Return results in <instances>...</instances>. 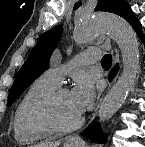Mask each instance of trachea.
Masks as SVG:
<instances>
[{"mask_svg":"<svg viewBox=\"0 0 145 147\" xmlns=\"http://www.w3.org/2000/svg\"><path fill=\"white\" fill-rule=\"evenodd\" d=\"M112 64V57L111 55L107 54L105 55L101 60L102 66H110Z\"/></svg>","mask_w":145,"mask_h":147,"instance_id":"3493384b","label":"trachea"}]
</instances>
